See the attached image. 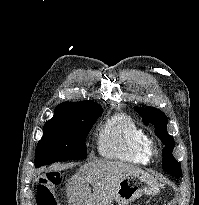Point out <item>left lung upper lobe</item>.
<instances>
[{
  "mask_svg": "<svg viewBox=\"0 0 199 205\" xmlns=\"http://www.w3.org/2000/svg\"><path fill=\"white\" fill-rule=\"evenodd\" d=\"M140 116L143 118L145 124H153L155 128V134L160 138L161 142L165 145L163 149V159H162V168L164 171L171 173L176 178L181 176V167L180 163L172 155L174 149V139L167 132V117L159 109L154 107H135L134 108Z\"/></svg>",
  "mask_w": 199,
  "mask_h": 205,
  "instance_id": "obj_1",
  "label": "left lung upper lobe"
}]
</instances>
